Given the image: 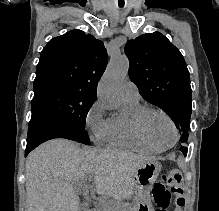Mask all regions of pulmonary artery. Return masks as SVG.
I'll return each instance as SVG.
<instances>
[{"instance_id": "e3ab8cb5", "label": "pulmonary artery", "mask_w": 219, "mask_h": 211, "mask_svg": "<svg viewBox=\"0 0 219 211\" xmlns=\"http://www.w3.org/2000/svg\"><path fill=\"white\" fill-rule=\"evenodd\" d=\"M120 99L122 102H139V89L131 80L127 79L122 85Z\"/></svg>"}]
</instances>
